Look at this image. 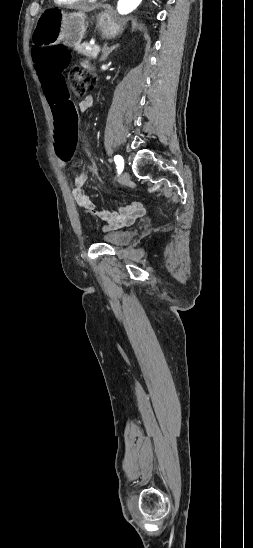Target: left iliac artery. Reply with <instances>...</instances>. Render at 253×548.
<instances>
[{
  "instance_id": "44dca946",
  "label": "left iliac artery",
  "mask_w": 253,
  "mask_h": 548,
  "mask_svg": "<svg viewBox=\"0 0 253 548\" xmlns=\"http://www.w3.org/2000/svg\"><path fill=\"white\" fill-rule=\"evenodd\" d=\"M114 161H115V164L117 166L118 172L121 173L123 168H124V160H123L122 156L115 155L114 156Z\"/></svg>"
}]
</instances>
